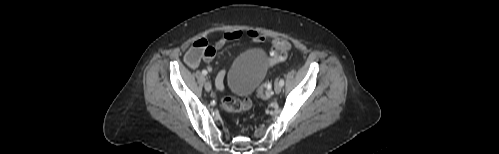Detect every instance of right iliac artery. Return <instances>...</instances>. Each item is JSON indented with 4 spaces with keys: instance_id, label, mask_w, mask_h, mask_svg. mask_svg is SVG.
Masks as SVG:
<instances>
[{
    "instance_id": "obj_1",
    "label": "right iliac artery",
    "mask_w": 499,
    "mask_h": 154,
    "mask_svg": "<svg viewBox=\"0 0 499 154\" xmlns=\"http://www.w3.org/2000/svg\"><path fill=\"white\" fill-rule=\"evenodd\" d=\"M202 74H203V75H207V71H206V70H203V71H202Z\"/></svg>"
}]
</instances>
